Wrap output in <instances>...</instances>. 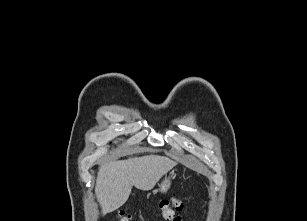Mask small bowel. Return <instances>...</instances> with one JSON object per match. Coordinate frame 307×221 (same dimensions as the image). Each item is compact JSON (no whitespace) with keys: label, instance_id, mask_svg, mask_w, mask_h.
<instances>
[{"label":"small bowel","instance_id":"c3829d8e","mask_svg":"<svg viewBox=\"0 0 307 221\" xmlns=\"http://www.w3.org/2000/svg\"><path fill=\"white\" fill-rule=\"evenodd\" d=\"M171 221H183L182 216L180 215H174L172 218H170Z\"/></svg>","mask_w":307,"mask_h":221}]
</instances>
